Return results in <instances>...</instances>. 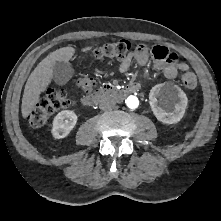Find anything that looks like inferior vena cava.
<instances>
[{
    "instance_id": "inferior-vena-cava-1",
    "label": "inferior vena cava",
    "mask_w": 221,
    "mask_h": 221,
    "mask_svg": "<svg viewBox=\"0 0 221 221\" xmlns=\"http://www.w3.org/2000/svg\"><path fill=\"white\" fill-rule=\"evenodd\" d=\"M116 105V101L114 98L110 96L103 97L100 100L99 107L103 111L112 110Z\"/></svg>"
}]
</instances>
